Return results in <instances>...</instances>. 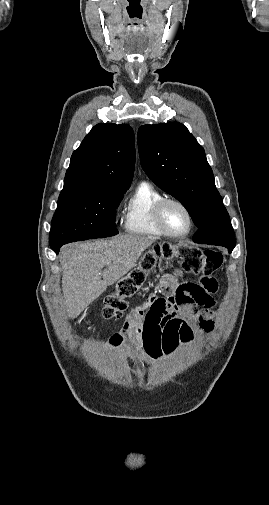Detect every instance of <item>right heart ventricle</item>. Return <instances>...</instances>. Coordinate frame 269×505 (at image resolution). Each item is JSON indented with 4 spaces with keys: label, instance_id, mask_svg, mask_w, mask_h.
Here are the masks:
<instances>
[{
    "label": "right heart ventricle",
    "instance_id": "e07e8e85",
    "mask_svg": "<svg viewBox=\"0 0 269 505\" xmlns=\"http://www.w3.org/2000/svg\"><path fill=\"white\" fill-rule=\"evenodd\" d=\"M162 194L148 182H141L128 199L124 213V229L130 234L162 237L153 217L154 205Z\"/></svg>",
    "mask_w": 269,
    "mask_h": 505
}]
</instances>
